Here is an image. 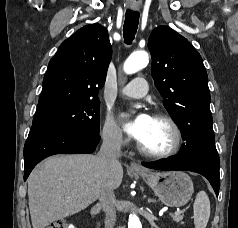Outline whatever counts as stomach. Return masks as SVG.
Instances as JSON below:
<instances>
[{
    "label": "stomach",
    "instance_id": "1",
    "mask_svg": "<svg viewBox=\"0 0 238 228\" xmlns=\"http://www.w3.org/2000/svg\"><path fill=\"white\" fill-rule=\"evenodd\" d=\"M134 174L141 176L159 199L170 207L184 206L194 192L192 180L181 171H134Z\"/></svg>",
    "mask_w": 238,
    "mask_h": 228
}]
</instances>
